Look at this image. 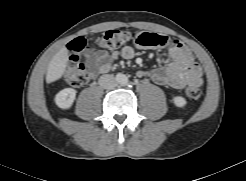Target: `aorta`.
<instances>
[{"instance_id": "762f6f07", "label": "aorta", "mask_w": 246, "mask_h": 181, "mask_svg": "<svg viewBox=\"0 0 246 181\" xmlns=\"http://www.w3.org/2000/svg\"><path fill=\"white\" fill-rule=\"evenodd\" d=\"M116 80L119 84H125L127 82V77L124 74H117Z\"/></svg>"}]
</instances>
